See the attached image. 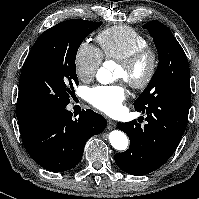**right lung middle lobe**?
<instances>
[{
  "label": "right lung middle lobe",
  "mask_w": 199,
  "mask_h": 199,
  "mask_svg": "<svg viewBox=\"0 0 199 199\" xmlns=\"http://www.w3.org/2000/svg\"><path fill=\"white\" fill-rule=\"evenodd\" d=\"M102 22L63 21L42 33L22 67L16 116L35 120L68 105L78 85L75 59L82 41Z\"/></svg>",
  "instance_id": "obj_1"
}]
</instances>
